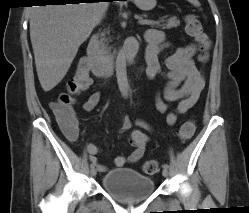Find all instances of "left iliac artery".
Instances as JSON below:
<instances>
[{"mask_svg":"<svg viewBox=\"0 0 249 213\" xmlns=\"http://www.w3.org/2000/svg\"><path fill=\"white\" fill-rule=\"evenodd\" d=\"M163 167H164V169H169V165L168 164H164Z\"/></svg>","mask_w":249,"mask_h":213,"instance_id":"left-iliac-artery-1","label":"left iliac artery"}]
</instances>
